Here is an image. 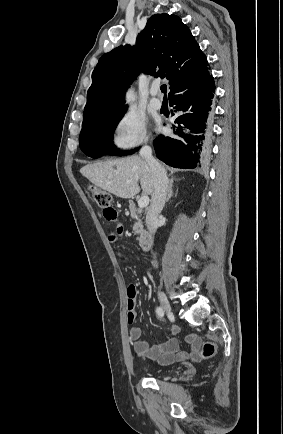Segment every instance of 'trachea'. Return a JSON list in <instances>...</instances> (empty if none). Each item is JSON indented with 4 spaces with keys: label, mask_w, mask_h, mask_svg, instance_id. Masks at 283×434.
<instances>
[{
    "label": "trachea",
    "mask_w": 283,
    "mask_h": 434,
    "mask_svg": "<svg viewBox=\"0 0 283 434\" xmlns=\"http://www.w3.org/2000/svg\"><path fill=\"white\" fill-rule=\"evenodd\" d=\"M161 91H162V93H164V97H166V92H167V86H166V84H163L161 86Z\"/></svg>",
    "instance_id": "obj_1"
}]
</instances>
